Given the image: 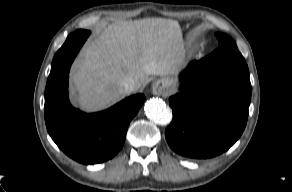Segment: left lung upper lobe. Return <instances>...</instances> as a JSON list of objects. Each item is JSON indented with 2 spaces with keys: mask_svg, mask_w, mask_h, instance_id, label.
I'll use <instances>...</instances> for the list:
<instances>
[{
  "mask_svg": "<svg viewBox=\"0 0 292 192\" xmlns=\"http://www.w3.org/2000/svg\"><path fill=\"white\" fill-rule=\"evenodd\" d=\"M216 37L219 40V48L238 50L234 40L230 38L229 36H227L226 34L216 33Z\"/></svg>",
  "mask_w": 292,
  "mask_h": 192,
  "instance_id": "5c2ea615",
  "label": "left lung upper lobe"
}]
</instances>
